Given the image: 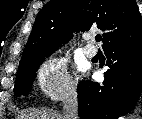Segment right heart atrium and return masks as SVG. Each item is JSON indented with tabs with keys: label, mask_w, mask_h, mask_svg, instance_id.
<instances>
[{
	"label": "right heart atrium",
	"mask_w": 142,
	"mask_h": 119,
	"mask_svg": "<svg viewBox=\"0 0 142 119\" xmlns=\"http://www.w3.org/2000/svg\"><path fill=\"white\" fill-rule=\"evenodd\" d=\"M40 92L53 100L72 97L76 94V83L69 74L62 58L54 57L40 67L36 77Z\"/></svg>",
	"instance_id": "right-heart-atrium-1"
}]
</instances>
